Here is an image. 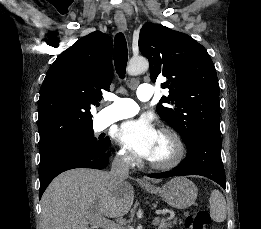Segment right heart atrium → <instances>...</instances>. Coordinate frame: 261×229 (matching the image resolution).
I'll return each mask as SVG.
<instances>
[{
  "instance_id": "obj_1",
  "label": "right heart atrium",
  "mask_w": 261,
  "mask_h": 229,
  "mask_svg": "<svg viewBox=\"0 0 261 229\" xmlns=\"http://www.w3.org/2000/svg\"><path fill=\"white\" fill-rule=\"evenodd\" d=\"M116 160L122 166L132 168L136 165V158L132 152L125 146L120 147L117 151Z\"/></svg>"
}]
</instances>
